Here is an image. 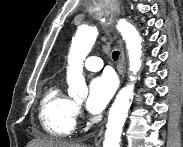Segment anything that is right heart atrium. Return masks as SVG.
<instances>
[{
    "mask_svg": "<svg viewBox=\"0 0 183 147\" xmlns=\"http://www.w3.org/2000/svg\"><path fill=\"white\" fill-rule=\"evenodd\" d=\"M81 114V109L79 106H76V115Z\"/></svg>",
    "mask_w": 183,
    "mask_h": 147,
    "instance_id": "obj_1",
    "label": "right heart atrium"
}]
</instances>
